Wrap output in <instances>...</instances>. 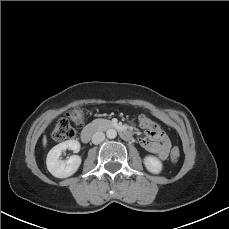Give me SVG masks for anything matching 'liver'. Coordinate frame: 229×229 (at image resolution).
Segmentation results:
<instances>
[{"label":"liver","mask_w":229,"mask_h":229,"mask_svg":"<svg viewBox=\"0 0 229 229\" xmlns=\"http://www.w3.org/2000/svg\"><path fill=\"white\" fill-rule=\"evenodd\" d=\"M42 142H43V146L45 147V146H46V144H47V138H46V136H44V137H43Z\"/></svg>","instance_id":"6515ba94"}]
</instances>
